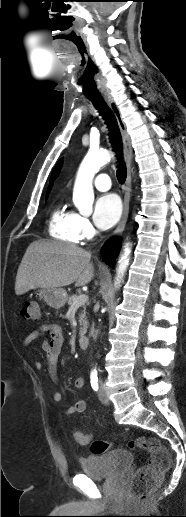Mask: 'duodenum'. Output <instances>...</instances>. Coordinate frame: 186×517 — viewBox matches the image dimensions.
<instances>
[{"mask_svg":"<svg viewBox=\"0 0 186 517\" xmlns=\"http://www.w3.org/2000/svg\"><path fill=\"white\" fill-rule=\"evenodd\" d=\"M78 344L81 349H87L90 345V339L87 335H80L78 337Z\"/></svg>","mask_w":186,"mask_h":517,"instance_id":"1","label":"duodenum"}]
</instances>
